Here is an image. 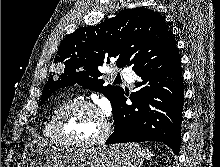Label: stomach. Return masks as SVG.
<instances>
[{
  "instance_id": "stomach-1",
  "label": "stomach",
  "mask_w": 220,
  "mask_h": 167,
  "mask_svg": "<svg viewBox=\"0 0 220 167\" xmlns=\"http://www.w3.org/2000/svg\"><path fill=\"white\" fill-rule=\"evenodd\" d=\"M144 152L134 143L93 149H63L47 142H31L25 148L22 167H141Z\"/></svg>"
}]
</instances>
